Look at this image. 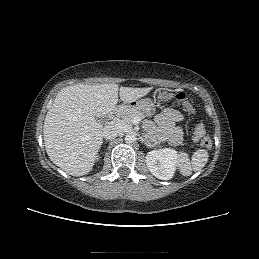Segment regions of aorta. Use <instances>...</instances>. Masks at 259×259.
Segmentation results:
<instances>
[{
	"instance_id": "762f6f07",
	"label": "aorta",
	"mask_w": 259,
	"mask_h": 259,
	"mask_svg": "<svg viewBox=\"0 0 259 259\" xmlns=\"http://www.w3.org/2000/svg\"><path fill=\"white\" fill-rule=\"evenodd\" d=\"M135 135L133 133H129L125 136V142L131 144L135 141Z\"/></svg>"
}]
</instances>
